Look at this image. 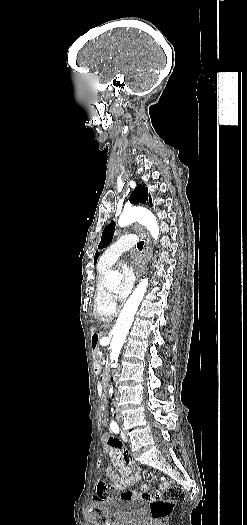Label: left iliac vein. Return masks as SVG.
<instances>
[{"mask_svg":"<svg viewBox=\"0 0 247 525\" xmlns=\"http://www.w3.org/2000/svg\"><path fill=\"white\" fill-rule=\"evenodd\" d=\"M121 438L124 442H127L128 441V438L127 436L124 434V433H121Z\"/></svg>","mask_w":247,"mask_h":525,"instance_id":"4c4485c4","label":"left iliac vein"}]
</instances>
